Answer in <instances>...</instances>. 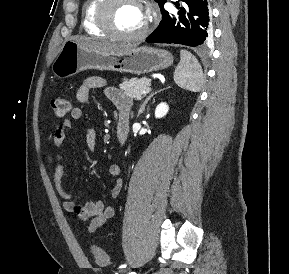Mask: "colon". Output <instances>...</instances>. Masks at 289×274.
<instances>
[{"mask_svg": "<svg viewBox=\"0 0 289 274\" xmlns=\"http://www.w3.org/2000/svg\"><path fill=\"white\" fill-rule=\"evenodd\" d=\"M50 107L56 117H64L70 111V102L64 97H57L50 101ZM92 254L98 265L104 266L109 262L107 253L98 246L92 247Z\"/></svg>", "mask_w": 289, "mask_h": 274, "instance_id": "obj_1", "label": "colon"}]
</instances>
